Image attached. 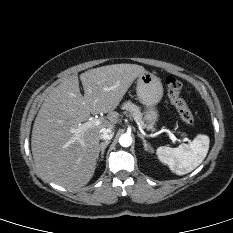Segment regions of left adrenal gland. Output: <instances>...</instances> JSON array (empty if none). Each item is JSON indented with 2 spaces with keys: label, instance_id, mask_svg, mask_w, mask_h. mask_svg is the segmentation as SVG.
Wrapping results in <instances>:
<instances>
[{
  "label": "left adrenal gland",
  "instance_id": "a2214340",
  "mask_svg": "<svg viewBox=\"0 0 233 233\" xmlns=\"http://www.w3.org/2000/svg\"><path fill=\"white\" fill-rule=\"evenodd\" d=\"M138 136L142 139V141H143V145H144V149H145V151H152V148H151V146L149 145V143H147V141H146V139L144 138V136L143 135H141L140 133H138Z\"/></svg>",
  "mask_w": 233,
  "mask_h": 233
}]
</instances>
